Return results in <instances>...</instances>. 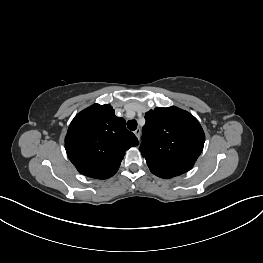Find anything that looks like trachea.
<instances>
[{"mask_svg":"<svg viewBox=\"0 0 263 263\" xmlns=\"http://www.w3.org/2000/svg\"><path fill=\"white\" fill-rule=\"evenodd\" d=\"M127 127L129 130L134 131L137 128V121L136 120H129L127 122Z\"/></svg>","mask_w":263,"mask_h":263,"instance_id":"3493384b","label":"trachea"}]
</instances>
